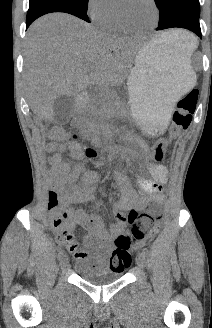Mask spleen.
Segmentation results:
<instances>
[{
    "label": "spleen",
    "mask_w": 212,
    "mask_h": 328,
    "mask_svg": "<svg viewBox=\"0 0 212 328\" xmlns=\"http://www.w3.org/2000/svg\"><path fill=\"white\" fill-rule=\"evenodd\" d=\"M171 43L178 46L188 57H191L198 46L197 38L193 34L182 30H177V35L171 40Z\"/></svg>",
    "instance_id": "1"
}]
</instances>
